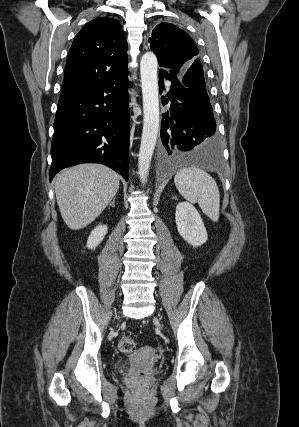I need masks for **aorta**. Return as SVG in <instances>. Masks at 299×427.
Here are the masks:
<instances>
[{"mask_svg": "<svg viewBox=\"0 0 299 427\" xmlns=\"http://www.w3.org/2000/svg\"><path fill=\"white\" fill-rule=\"evenodd\" d=\"M157 57L153 52L145 53L140 61L141 87L143 95V130L138 155V173L141 182H147L150 163L159 131V90L157 79Z\"/></svg>", "mask_w": 299, "mask_h": 427, "instance_id": "obj_1", "label": "aorta"}]
</instances>
